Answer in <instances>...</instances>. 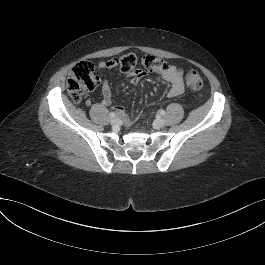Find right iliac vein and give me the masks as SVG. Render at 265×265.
Listing matches in <instances>:
<instances>
[{"label":"right iliac vein","instance_id":"obj_1","mask_svg":"<svg viewBox=\"0 0 265 265\" xmlns=\"http://www.w3.org/2000/svg\"><path fill=\"white\" fill-rule=\"evenodd\" d=\"M110 123H111V125H117L119 123V119L118 118H112L110 120Z\"/></svg>","mask_w":265,"mask_h":265}]
</instances>
